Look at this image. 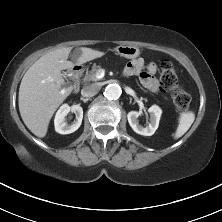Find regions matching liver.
Wrapping results in <instances>:
<instances>
[{
	"label": "liver",
	"mask_w": 222,
	"mask_h": 222,
	"mask_svg": "<svg viewBox=\"0 0 222 222\" xmlns=\"http://www.w3.org/2000/svg\"><path fill=\"white\" fill-rule=\"evenodd\" d=\"M70 47L50 51L40 57L22 78L18 105L21 118L27 128L37 137L43 138L49 122L73 88H62L64 79L61 70L71 69L74 63L68 61ZM105 53L82 47L75 52L77 65L84 64Z\"/></svg>",
	"instance_id": "1"
}]
</instances>
